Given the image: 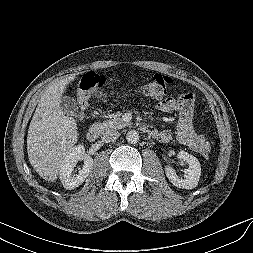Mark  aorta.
I'll return each mask as SVG.
<instances>
[{"mask_svg":"<svg viewBox=\"0 0 253 253\" xmlns=\"http://www.w3.org/2000/svg\"><path fill=\"white\" fill-rule=\"evenodd\" d=\"M126 139L128 143L136 144L139 141V133L135 130H130L126 134Z\"/></svg>","mask_w":253,"mask_h":253,"instance_id":"aorta-1","label":"aorta"}]
</instances>
